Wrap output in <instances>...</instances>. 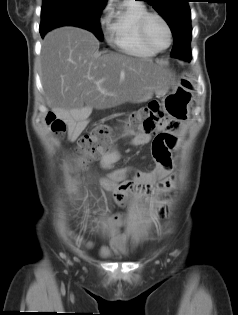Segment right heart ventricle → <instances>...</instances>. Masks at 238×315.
I'll list each match as a JSON object with an SVG mask.
<instances>
[{"instance_id":"1","label":"right heart ventricle","mask_w":238,"mask_h":315,"mask_svg":"<svg viewBox=\"0 0 238 315\" xmlns=\"http://www.w3.org/2000/svg\"><path fill=\"white\" fill-rule=\"evenodd\" d=\"M147 13L146 6L137 0H123L106 20L105 36L109 45L128 55L155 56L157 52L142 41L139 33L140 20Z\"/></svg>"}]
</instances>
